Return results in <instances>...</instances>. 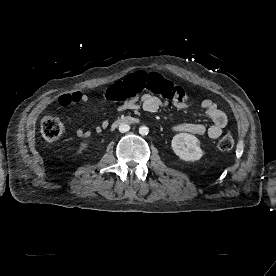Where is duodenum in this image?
Listing matches in <instances>:
<instances>
[{
    "mask_svg": "<svg viewBox=\"0 0 276 276\" xmlns=\"http://www.w3.org/2000/svg\"><path fill=\"white\" fill-rule=\"evenodd\" d=\"M136 122H137V119L135 117L124 116V117L114 120L111 126H112V128H115L120 124H134Z\"/></svg>",
    "mask_w": 276,
    "mask_h": 276,
    "instance_id": "duodenum-1",
    "label": "duodenum"
}]
</instances>
